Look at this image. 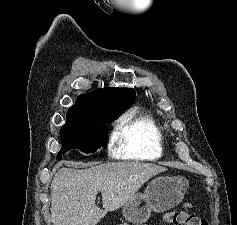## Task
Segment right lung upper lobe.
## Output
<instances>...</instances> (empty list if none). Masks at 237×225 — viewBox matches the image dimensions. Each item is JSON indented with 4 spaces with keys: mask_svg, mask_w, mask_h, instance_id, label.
<instances>
[{
    "mask_svg": "<svg viewBox=\"0 0 237 225\" xmlns=\"http://www.w3.org/2000/svg\"><path fill=\"white\" fill-rule=\"evenodd\" d=\"M136 98L130 88H104L90 94L81 95L67 112V122L87 123L98 111L122 114Z\"/></svg>",
    "mask_w": 237,
    "mask_h": 225,
    "instance_id": "1",
    "label": "right lung upper lobe"
}]
</instances>
